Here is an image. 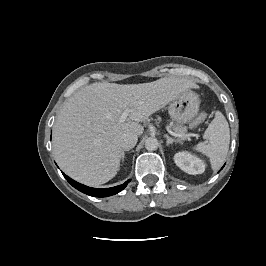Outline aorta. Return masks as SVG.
Wrapping results in <instances>:
<instances>
[{"instance_id": "aorta-1", "label": "aorta", "mask_w": 266, "mask_h": 266, "mask_svg": "<svg viewBox=\"0 0 266 266\" xmlns=\"http://www.w3.org/2000/svg\"><path fill=\"white\" fill-rule=\"evenodd\" d=\"M145 148L148 151H154V150H156L158 148V140L156 138L149 137L145 141Z\"/></svg>"}]
</instances>
